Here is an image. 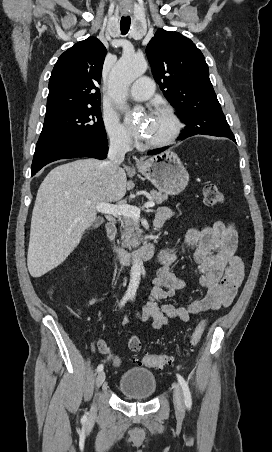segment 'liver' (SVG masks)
Returning a JSON list of instances; mask_svg holds the SVG:
<instances>
[{
  "instance_id": "liver-1",
  "label": "liver",
  "mask_w": 272,
  "mask_h": 452,
  "mask_svg": "<svg viewBox=\"0 0 272 452\" xmlns=\"http://www.w3.org/2000/svg\"><path fill=\"white\" fill-rule=\"evenodd\" d=\"M124 169L110 174L103 161L80 159L52 169L41 183L31 219L27 266L38 278L59 266L96 220V206L126 194Z\"/></svg>"
}]
</instances>
